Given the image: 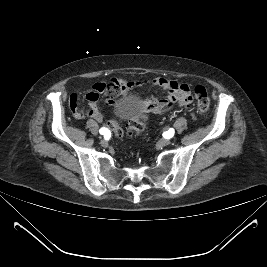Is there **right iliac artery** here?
Returning <instances> with one entry per match:
<instances>
[{
    "label": "right iliac artery",
    "instance_id": "right-iliac-artery-1",
    "mask_svg": "<svg viewBox=\"0 0 267 267\" xmlns=\"http://www.w3.org/2000/svg\"><path fill=\"white\" fill-rule=\"evenodd\" d=\"M100 134L105 135V137H109L110 136V131L107 128H101L99 130Z\"/></svg>",
    "mask_w": 267,
    "mask_h": 267
}]
</instances>
